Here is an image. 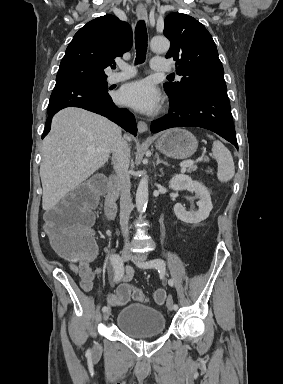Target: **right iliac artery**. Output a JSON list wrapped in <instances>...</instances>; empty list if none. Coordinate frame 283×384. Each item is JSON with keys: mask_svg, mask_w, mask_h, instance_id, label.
Masks as SVG:
<instances>
[{"mask_svg": "<svg viewBox=\"0 0 283 384\" xmlns=\"http://www.w3.org/2000/svg\"><path fill=\"white\" fill-rule=\"evenodd\" d=\"M110 261H111V264L114 268L115 280L118 281L121 279V277L124 274V264H123V262H122V260L118 254H113L110 258ZM107 309H108V307L104 306L102 308V311L105 312V311H107ZM86 355L91 356V350L90 349L87 350Z\"/></svg>", "mask_w": 283, "mask_h": 384, "instance_id": "82829eb1", "label": "right iliac artery"}]
</instances>
